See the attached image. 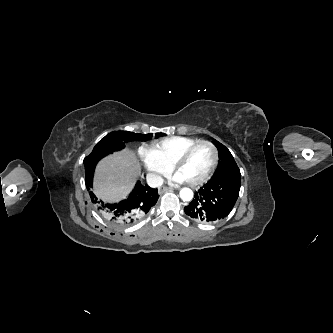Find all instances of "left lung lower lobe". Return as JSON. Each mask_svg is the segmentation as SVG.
<instances>
[{
  "instance_id": "left-lung-lower-lobe-1",
  "label": "left lung lower lobe",
  "mask_w": 333,
  "mask_h": 333,
  "mask_svg": "<svg viewBox=\"0 0 333 333\" xmlns=\"http://www.w3.org/2000/svg\"><path fill=\"white\" fill-rule=\"evenodd\" d=\"M240 185L241 174L238 167L215 174L195 193L184 211L199 222H217L232 211L239 196Z\"/></svg>"
}]
</instances>
